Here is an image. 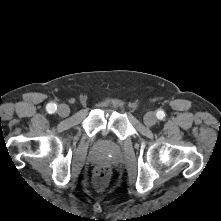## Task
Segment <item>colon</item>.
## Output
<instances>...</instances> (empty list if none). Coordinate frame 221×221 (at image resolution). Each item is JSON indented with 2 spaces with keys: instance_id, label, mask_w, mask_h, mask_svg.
Masks as SVG:
<instances>
[{
  "instance_id": "5ec220e1",
  "label": "colon",
  "mask_w": 221,
  "mask_h": 221,
  "mask_svg": "<svg viewBox=\"0 0 221 221\" xmlns=\"http://www.w3.org/2000/svg\"><path fill=\"white\" fill-rule=\"evenodd\" d=\"M109 177H110V171L106 166L97 167L95 171V178L93 181V188L96 191L103 190L109 181Z\"/></svg>"
}]
</instances>
